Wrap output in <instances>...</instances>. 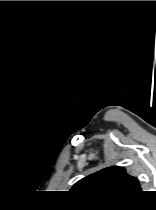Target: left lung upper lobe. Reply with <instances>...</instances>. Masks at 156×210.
I'll list each match as a JSON object with an SVG mask.
<instances>
[{
  "instance_id": "1",
  "label": "left lung upper lobe",
  "mask_w": 156,
  "mask_h": 210,
  "mask_svg": "<svg viewBox=\"0 0 156 210\" xmlns=\"http://www.w3.org/2000/svg\"><path fill=\"white\" fill-rule=\"evenodd\" d=\"M72 190L126 196L140 193L141 187L123 167L112 166L79 180Z\"/></svg>"
}]
</instances>
